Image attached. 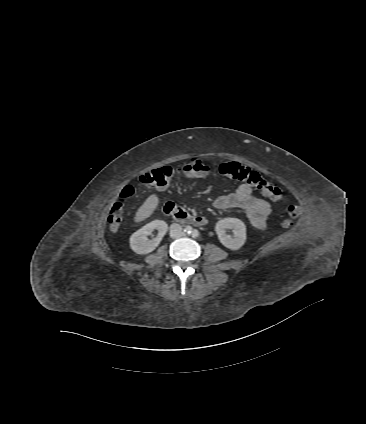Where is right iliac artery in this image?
<instances>
[{
	"label": "right iliac artery",
	"instance_id": "obj_1",
	"mask_svg": "<svg viewBox=\"0 0 366 424\" xmlns=\"http://www.w3.org/2000/svg\"><path fill=\"white\" fill-rule=\"evenodd\" d=\"M185 232H186L187 234L192 233V227H191V226H187V227L185 228Z\"/></svg>",
	"mask_w": 366,
	"mask_h": 424
}]
</instances>
